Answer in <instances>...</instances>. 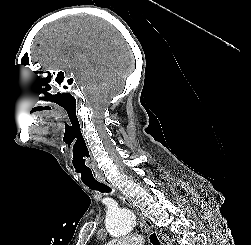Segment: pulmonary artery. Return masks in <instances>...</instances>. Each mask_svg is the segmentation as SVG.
Returning <instances> with one entry per match:
<instances>
[{"label":"pulmonary artery","mask_w":251,"mask_h":245,"mask_svg":"<svg viewBox=\"0 0 251 245\" xmlns=\"http://www.w3.org/2000/svg\"><path fill=\"white\" fill-rule=\"evenodd\" d=\"M143 237L141 235H132L125 239H115L107 245H142Z\"/></svg>","instance_id":"1"}]
</instances>
